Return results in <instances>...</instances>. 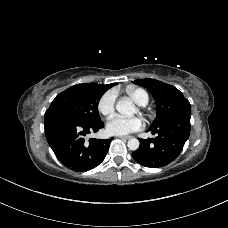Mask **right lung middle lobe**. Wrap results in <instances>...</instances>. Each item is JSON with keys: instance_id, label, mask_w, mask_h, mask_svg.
<instances>
[{"instance_id": "dd1d6c3e", "label": "right lung middle lobe", "mask_w": 228, "mask_h": 228, "mask_svg": "<svg viewBox=\"0 0 228 228\" xmlns=\"http://www.w3.org/2000/svg\"><path fill=\"white\" fill-rule=\"evenodd\" d=\"M106 91L96 83L74 85L57 95L46 113L62 112L87 123L99 122L98 102Z\"/></svg>"}]
</instances>
